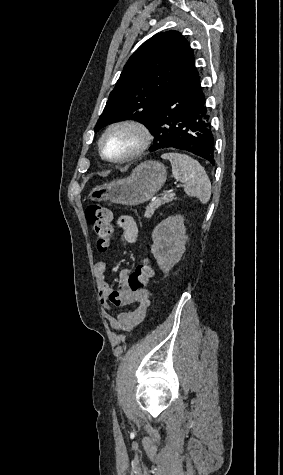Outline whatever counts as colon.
I'll return each instance as SVG.
<instances>
[{
  "label": "colon",
  "instance_id": "1",
  "mask_svg": "<svg viewBox=\"0 0 283 475\" xmlns=\"http://www.w3.org/2000/svg\"><path fill=\"white\" fill-rule=\"evenodd\" d=\"M85 216L96 237L98 252H105L112 243L113 226L108 205L91 204L85 209ZM153 269L148 258L140 260L138 266L127 277V287L131 291L141 289L145 282L152 279Z\"/></svg>",
  "mask_w": 283,
  "mask_h": 475
}]
</instances>
